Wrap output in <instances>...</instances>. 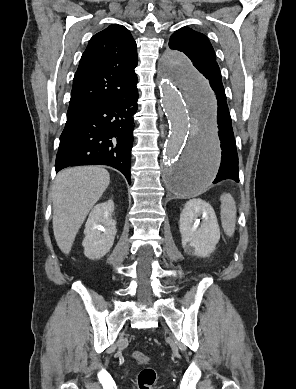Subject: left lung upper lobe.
I'll use <instances>...</instances> for the list:
<instances>
[{"label": "left lung upper lobe", "mask_w": 296, "mask_h": 389, "mask_svg": "<svg viewBox=\"0 0 296 389\" xmlns=\"http://www.w3.org/2000/svg\"><path fill=\"white\" fill-rule=\"evenodd\" d=\"M170 49L183 52L206 78L218 73L214 49L208 38L187 26L175 31L169 41Z\"/></svg>", "instance_id": "1"}]
</instances>
